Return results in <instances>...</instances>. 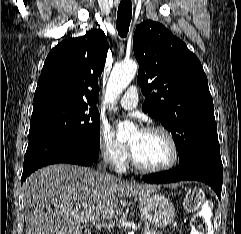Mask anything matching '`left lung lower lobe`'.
I'll list each match as a JSON object with an SVG mask.
<instances>
[{"label":"left lung lower lobe","mask_w":241,"mask_h":234,"mask_svg":"<svg viewBox=\"0 0 241 234\" xmlns=\"http://www.w3.org/2000/svg\"><path fill=\"white\" fill-rule=\"evenodd\" d=\"M148 183H172L183 180L201 181L213 188L221 199L223 165L221 159L201 156L180 165L178 169L143 176Z\"/></svg>","instance_id":"left-lung-lower-lobe-1"}]
</instances>
